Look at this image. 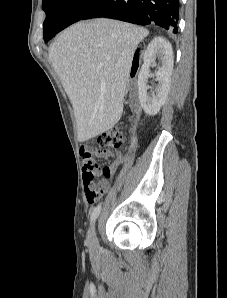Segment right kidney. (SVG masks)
I'll list each match as a JSON object with an SVG mask.
<instances>
[{
  "label": "right kidney",
  "mask_w": 227,
  "mask_h": 298,
  "mask_svg": "<svg viewBox=\"0 0 227 298\" xmlns=\"http://www.w3.org/2000/svg\"><path fill=\"white\" fill-rule=\"evenodd\" d=\"M158 58L161 66L158 67L156 79L159 82L152 96L147 94V80L151 76L150 66ZM143 65L138 74V97L140 104L149 116L156 115L167 98L171 74L173 71L174 57L172 46L163 37L154 38L148 45L144 56Z\"/></svg>",
  "instance_id": "ca27d5eb"
}]
</instances>
